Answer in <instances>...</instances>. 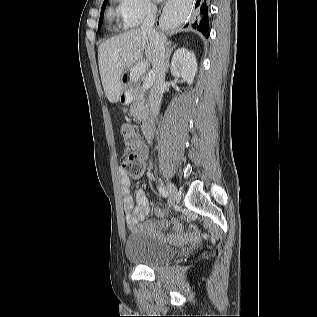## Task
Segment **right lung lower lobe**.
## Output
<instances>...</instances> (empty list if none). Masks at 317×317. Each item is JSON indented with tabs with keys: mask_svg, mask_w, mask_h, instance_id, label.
I'll list each match as a JSON object with an SVG mask.
<instances>
[{
	"mask_svg": "<svg viewBox=\"0 0 317 317\" xmlns=\"http://www.w3.org/2000/svg\"><path fill=\"white\" fill-rule=\"evenodd\" d=\"M194 22L191 26L202 32L206 37L209 35L208 6L206 0H195ZM187 26V25H186Z\"/></svg>",
	"mask_w": 317,
	"mask_h": 317,
	"instance_id": "1",
	"label": "right lung lower lobe"
}]
</instances>
